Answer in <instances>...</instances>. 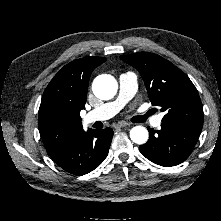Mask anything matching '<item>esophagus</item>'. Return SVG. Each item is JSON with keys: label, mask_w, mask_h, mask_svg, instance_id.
<instances>
[{"label": "esophagus", "mask_w": 221, "mask_h": 221, "mask_svg": "<svg viewBox=\"0 0 221 221\" xmlns=\"http://www.w3.org/2000/svg\"><path fill=\"white\" fill-rule=\"evenodd\" d=\"M129 126H130V124L127 123V122H119L115 127H116L117 129H120V128H127V127H129Z\"/></svg>", "instance_id": "esophagus-1"}]
</instances>
